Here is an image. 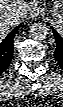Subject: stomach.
<instances>
[{"mask_svg":"<svg viewBox=\"0 0 63 107\" xmlns=\"http://www.w3.org/2000/svg\"><path fill=\"white\" fill-rule=\"evenodd\" d=\"M55 25L59 28H63V1H56L51 10Z\"/></svg>","mask_w":63,"mask_h":107,"instance_id":"0dacf381","label":"stomach"}]
</instances>
